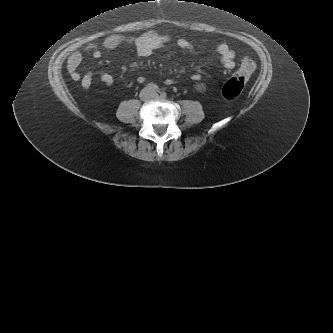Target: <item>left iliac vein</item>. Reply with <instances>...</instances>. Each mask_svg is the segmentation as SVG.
Segmentation results:
<instances>
[{"mask_svg": "<svg viewBox=\"0 0 333 333\" xmlns=\"http://www.w3.org/2000/svg\"><path fill=\"white\" fill-rule=\"evenodd\" d=\"M153 98H159L157 94H153Z\"/></svg>", "mask_w": 333, "mask_h": 333, "instance_id": "1", "label": "left iliac vein"}]
</instances>
